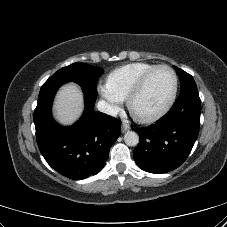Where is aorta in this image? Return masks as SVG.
<instances>
[{
	"mask_svg": "<svg viewBox=\"0 0 227 227\" xmlns=\"http://www.w3.org/2000/svg\"><path fill=\"white\" fill-rule=\"evenodd\" d=\"M124 142L128 146H136L139 143V136L134 131H128L124 135Z\"/></svg>",
	"mask_w": 227,
	"mask_h": 227,
	"instance_id": "1",
	"label": "aorta"
}]
</instances>
